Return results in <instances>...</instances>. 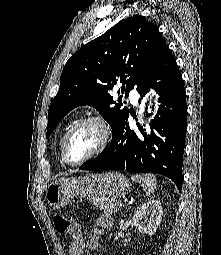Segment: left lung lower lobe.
<instances>
[{
  "label": "left lung lower lobe",
  "mask_w": 221,
  "mask_h": 255,
  "mask_svg": "<svg viewBox=\"0 0 221 255\" xmlns=\"http://www.w3.org/2000/svg\"><path fill=\"white\" fill-rule=\"evenodd\" d=\"M150 89L159 94L161 103L150 130L138 124L140 134H136L127 122L128 113L113 131L109 147L80 169L157 173L170 178L181 191L187 104L182 76L168 46L138 90L141 98Z\"/></svg>",
  "instance_id": "obj_1"
}]
</instances>
